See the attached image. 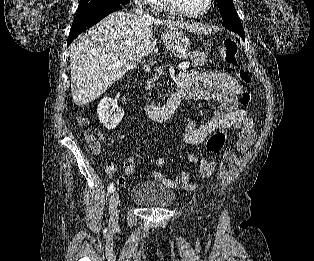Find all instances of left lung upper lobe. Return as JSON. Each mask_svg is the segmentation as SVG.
<instances>
[{
  "label": "left lung upper lobe",
  "instance_id": "left-lung-upper-lobe-1",
  "mask_svg": "<svg viewBox=\"0 0 314 261\" xmlns=\"http://www.w3.org/2000/svg\"><path fill=\"white\" fill-rule=\"evenodd\" d=\"M223 19V26L229 30L241 34L244 33L243 26L236 14L232 0H216Z\"/></svg>",
  "mask_w": 314,
  "mask_h": 261
}]
</instances>
